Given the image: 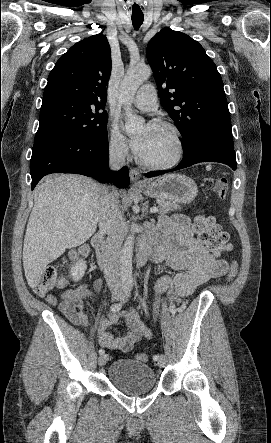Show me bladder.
Segmentation results:
<instances>
[{"mask_svg": "<svg viewBox=\"0 0 271 443\" xmlns=\"http://www.w3.org/2000/svg\"><path fill=\"white\" fill-rule=\"evenodd\" d=\"M108 377L117 389L130 395L148 393L156 385L154 370L145 363L129 358L112 362Z\"/></svg>", "mask_w": 271, "mask_h": 443, "instance_id": "1", "label": "bladder"}]
</instances>
